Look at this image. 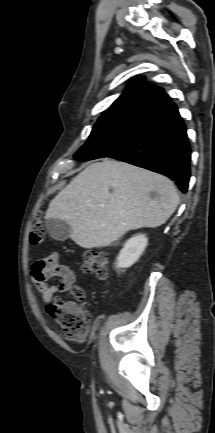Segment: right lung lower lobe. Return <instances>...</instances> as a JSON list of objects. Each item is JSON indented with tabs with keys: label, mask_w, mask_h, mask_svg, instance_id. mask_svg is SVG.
<instances>
[{
	"label": "right lung lower lobe",
	"mask_w": 215,
	"mask_h": 433,
	"mask_svg": "<svg viewBox=\"0 0 215 433\" xmlns=\"http://www.w3.org/2000/svg\"><path fill=\"white\" fill-rule=\"evenodd\" d=\"M108 157L165 175L187 192L191 149L186 126L173 102L149 117L125 147Z\"/></svg>",
	"instance_id": "1"
}]
</instances>
